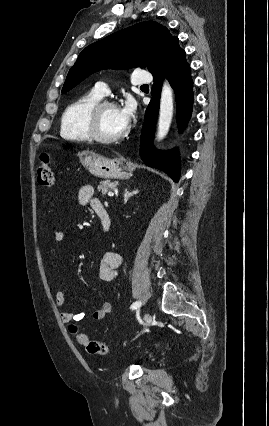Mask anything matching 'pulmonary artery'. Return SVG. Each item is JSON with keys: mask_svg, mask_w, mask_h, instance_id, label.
Masks as SVG:
<instances>
[{"mask_svg": "<svg viewBox=\"0 0 269 426\" xmlns=\"http://www.w3.org/2000/svg\"><path fill=\"white\" fill-rule=\"evenodd\" d=\"M151 81V75L145 70H136L132 74V83L134 85L144 86ZM94 91L101 97L107 94V86L103 82H99L95 85Z\"/></svg>", "mask_w": 269, "mask_h": 426, "instance_id": "1", "label": "pulmonary artery"}]
</instances>
